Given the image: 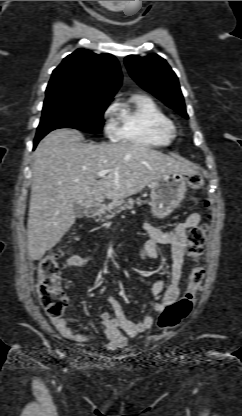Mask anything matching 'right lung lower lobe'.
<instances>
[{
	"label": "right lung lower lobe",
	"mask_w": 242,
	"mask_h": 416,
	"mask_svg": "<svg viewBox=\"0 0 242 416\" xmlns=\"http://www.w3.org/2000/svg\"><path fill=\"white\" fill-rule=\"evenodd\" d=\"M42 138H35L34 139V148L36 147V145L38 144V142L41 140Z\"/></svg>",
	"instance_id": "1"
}]
</instances>
